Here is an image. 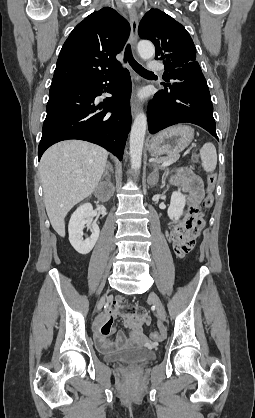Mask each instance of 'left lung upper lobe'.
Returning a JSON list of instances; mask_svg holds the SVG:
<instances>
[{"label": "left lung upper lobe", "instance_id": "5c2ea615", "mask_svg": "<svg viewBox=\"0 0 255 418\" xmlns=\"http://www.w3.org/2000/svg\"><path fill=\"white\" fill-rule=\"evenodd\" d=\"M138 32L141 39H148L155 45V59L162 60L165 65L164 80L171 70L199 65L189 33L159 9H151L144 15Z\"/></svg>", "mask_w": 255, "mask_h": 418}]
</instances>
